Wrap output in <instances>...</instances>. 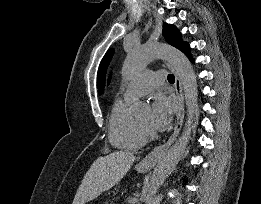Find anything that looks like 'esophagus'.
Returning a JSON list of instances; mask_svg holds the SVG:
<instances>
[{
  "instance_id": "1",
  "label": "esophagus",
  "mask_w": 261,
  "mask_h": 204,
  "mask_svg": "<svg viewBox=\"0 0 261 204\" xmlns=\"http://www.w3.org/2000/svg\"><path fill=\"white\" fill-rule=\"evenodd\" d=\"M165 64L169 69H171V71L175 75V85L174 86H175V91H176L177 100H178L177 121H176L174 131H173L171 137L169 138V140L165 144L155 147L148 155H146V157H144L141 160L140 167H142L144 169H151L158 163V161L161 159V157L165 154V152L169 149L171 144L177 138V136L180 132V129L182 127L183 120H184V114H185L184 96H183V89H182V84H181L180 78L178 77L174 68L169 63H165Z\"/></svg>"
}]
</instances>
